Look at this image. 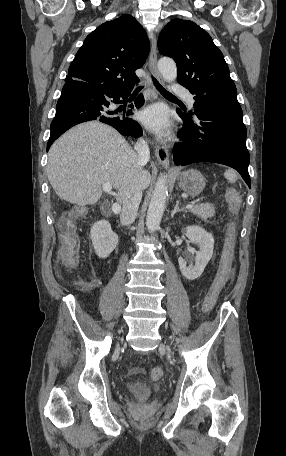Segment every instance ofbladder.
Segmentation results:
<instances>
[{"label":"bladder","instance_id":"obj_1","mask_svg":"<svg viewBox=\"0 0 286 456\" xmlns=\"http://www.w3.org/2000/svg\"><path fill=\"white\" fill-rule=\"evenodd\" d=\"M127 390L141 400H147L152 395V389L143 383L130 384L127 386Z\"/></svg>","mask_w":286,"mask_h":456}]
</instances>
